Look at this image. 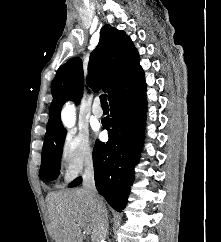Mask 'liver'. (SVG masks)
Here are the masks:
<instances>
[{
	"mask_svg": "<svg viewBox=\"0 0 221 242\" xmlns=\"http://www.w3.org/2000/svg\"><path fill=\"white\" fill-rule=\"evenodd\" d=\"M47 208L55 242H83L81 228L94 238L95 211L83 188L48 194Z\"/></svg>",
	"mask_w": 221,
	"mask_h": 242,
	"instance_id": "obj_1",
	"label": "liver"
}]
</instances>
